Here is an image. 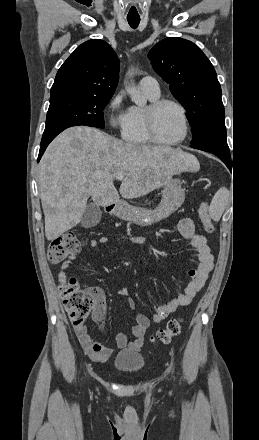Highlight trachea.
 <instances>
[{"mask_svg":"<svg viewBox=\"0 0 259 440\" xmlns=\"http://www.w3.org/2000/svg\"><path fill=\"white\" fill-rule=\"evenodd\" d=\"M127 21L132 28H137L140 23V18L127 19Z\"/></svg>","mask_w":259,"mask_h":440,"instance_id":"1","label":"trachea"}]
</instances>
